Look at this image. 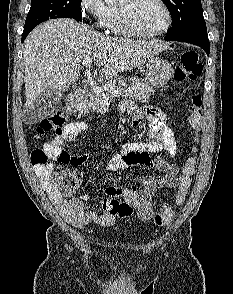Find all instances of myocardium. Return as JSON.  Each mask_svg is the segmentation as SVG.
Masks as SVG:
<instances>
[{
  "instance_id": "f54148a6",
  "label": "myocardium",
  "mask_w": 233,
  "mask_h": 294,
  "mask_svg": "<svg viewBox=\"0 0 233 294\" xmlns=\"http://www.w3.org/2000/svg\"><path fill=\"white\" fill-rule=\"evenodd\" d=\"M128 4L127 5H123L120 8L121 11V17H122V22H123V26L127 32V34L131 35V36H135V37H139V38H155L158 36L163 35L164 33H166L171 25H172V13L171 10L169 8V6L167 5V3L164 0H156L161 7L163 8L165 15H166V23L165 25L159 29L158 31L152 32V33H145L142 31H139L133 24L132 21V17H131V3L136 1V0H127Z\"/></svg>"
}]
</instances>
